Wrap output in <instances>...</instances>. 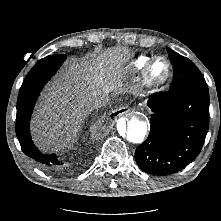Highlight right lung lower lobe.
Returning a JSON list of instances; mask_svg holds the SVG:
<instances>
[{
    "label": "right lung lower lobe",
    "mask_w": 221,
    "mask_h": 221,
    "mask_svg": "<svg viewBox=\"0 0 221 221\" xmlns=\"http://www.w3.org/2000/svg\"><path fill=\"white\" fill-rule=\"evenodd\" d=\"M65 55H51L41 59L24 79L17 100L16 134L22 151L39 167L47 171L62 172L64 162L55 154H42L33 144L29 123L37 97L64 62Z\"/></svg>",
    "instance_id": "1"
}]
</instances>
